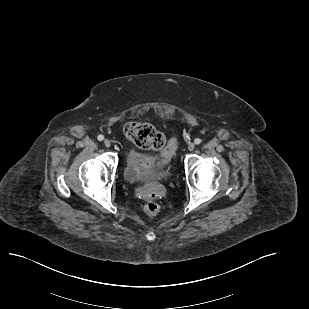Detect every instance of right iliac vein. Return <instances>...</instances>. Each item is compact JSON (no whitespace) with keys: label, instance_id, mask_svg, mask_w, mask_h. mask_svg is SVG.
<instances>
[{"label":"right iliac vein","instance_id":"obj_1","mask_svg":"<svg viewBox=\"0 0 309 309\" xmlns=\"http://www.w3.org/2000/svg\"><path fill=\"white\" fill-rule=\"evenodd\" d=\"M104 145H105L106 147H110V146H111V141L108 140V139H105V140H104Z\"/></svg>","mask_w":309,"mask_h":309}]
</instances>
